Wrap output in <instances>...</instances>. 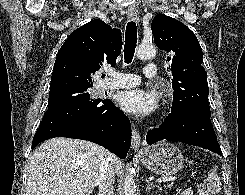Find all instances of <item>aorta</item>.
I'll list each match as a JSON object with an SVG mask.
<instances>
[{"label":"aorta","mask_w":245,"mask_h":195,"mask_svg":"<svg viewBox=\"0 0 245 195\" xmlns=\"http://www.w3.org/2000/svg\"><path fill=\"white\" fill-rule=\"evenodd\" d=\"M156 49L151 44H141L137 49V55L140 59H151L155 56ZM127 174L124 179V195H137V186L134 179V168L131 165H127Z\"/></svg>","instance_id":"aorta-1"}]
</instances>
